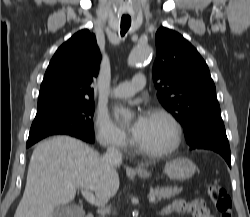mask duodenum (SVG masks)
I'll list each match as a JSON object with an SVG mask.
<instances>
[{
    "label": "duodenum",
    "mask_w": 250,
    "mask_h": 217,
    "mask_svg": "<svg viewBox=\"0 0 250 217\" xmlns=\"http://www.w3.org/2000/svg\"><path fill=\"white\" fill-rule=\"evenodd\" d=\"M85 217H94L92 213H88Z\"/></svg>",
    "instance_id": "duodenum-1"
}]
</instances>
